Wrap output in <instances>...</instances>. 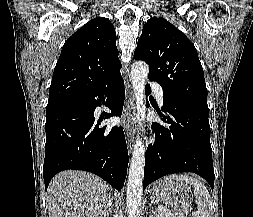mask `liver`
<instances>
[{"label":"liver","instance_id":"6515ba94","mask_svg":"<svg viewBox=\"0 0 253 217\" xmlns=\"http://www.w3.org/2000/svg\"><path fill=\"white\" fill-rule=\"evenodd\" d=\"M111 191L109 184L92 173L60 172L47 190L49 217H109Z\"/></svg>","mask_w":253,"mask_h":217}]
</instances>
